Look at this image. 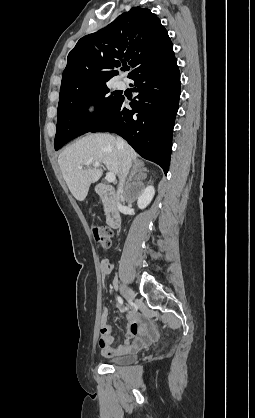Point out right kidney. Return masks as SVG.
Returning a JSON list of instances; mask_svg holds the SVG:
<instances>
[{"label":"right kidney","mask_w":255,"mask_h":418,"mask_svg":"<svg viewBox=\"0 0 255 418\" xmlns=\"http://www.w3.org/2000/svg\"><path fill=\"white\" fill-rule=\"evenodd\" d=\"M155 194V189L152 185L147 186L142 194L139 196L137 205L140 209L146 208L152 201Z\"/></svg>","instance_id":"1"}]
</instances>
